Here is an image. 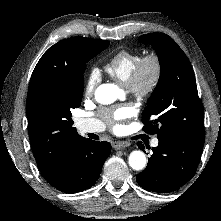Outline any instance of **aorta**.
Wrapping results in <instances>:
<instances>
[{
    "instance_id": "1",
    "label": "aorta",
    "mask_w": 221,
    "mask_h": 221,
    "mask_svg": "<svg viewBox=\"0 0 221 221\" xmlns=\"http://www.w3.org/2000/svg\"><path fill=\"white\" fill-rule=\"evenodd\" d=\"M121 91L114 84H102L95 92V99L101 104H111L117 100ZM129 165L133 170L139 171L146 166V156L140 150L132 151L128 158Z\"/></svg>"
}]
</instances>
